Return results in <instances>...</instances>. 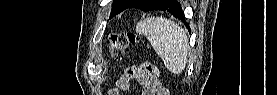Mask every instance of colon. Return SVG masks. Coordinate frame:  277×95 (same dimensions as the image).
Masks as SVG:
<instances>
[{
  "label": "colon",
  "mask_w": 277,
  "mask_h": 95,
  "mask_svg": "<svg viewBox=\"0 0 277 95\" xmlns=\"http://www.w3.org/2000/svg\"><path fill=\"white\" fill-rule=\"evenodd\" d=\"M137 37L130 32H111L108 36L110 55L113 59H120L124 50L137 41Z\"/></svg>",
  "instance_id": "5ec220e1"
}]
</instances>
